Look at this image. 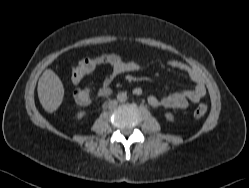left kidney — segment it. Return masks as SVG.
I'll list each match as a JSON object with an SVG mask.
<instances>
[{"mask_svg": "<svg viewBox=\"0 0 249 188\" xmlns=\"http://www.w3.org/2000/svg\"><path fill=\"white\" fill-rule=\"evenodd\" d=\"M165 118H166L168 121H174V116H173V114L170 113V112L165 113Z\"/></svg>", "mask_w": 249, "mask_h": 188, "instance_id": "1", "label": "left kidney"}]
</instances>
